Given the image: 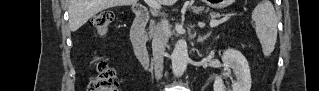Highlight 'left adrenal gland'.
<instances>
[{"label": "left adrenal gland", "mask_w": 319, "mask_h": 91, "mask_svg": "<svg viewBox=\"0 0 319 91\" xmlns=\"http://www.w3.org/2000/svg\"><path fill=\"white\" fill-rule=\"evenodd\" d=\"M210 36V33L208 32L207 34L201 36H198V42H204V40H206L208 37Z\"/></svg>", "instance_id": "a2214340"}]
</instances>
